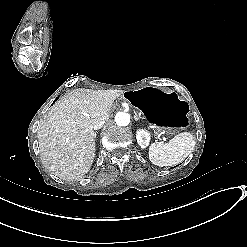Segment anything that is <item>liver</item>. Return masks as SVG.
Returning <instances> with one entry per match:
<instances>
[{
  "mask_svg": "<svg viewBox=\"0 0 247 247\" xmlns=\"http://www.w3.org/2000/svg\"><path fill=\"white\" fill-rule=\"evenodd\" d=\"M114 99L105 91L78 88L67 93L40 120V159L64 181L81 179L95 157L93 125L107 121Z\"/></svg>",
  "mask_w": 247,
  "mask_h": 247,
  "instance_id": "obj_1",
  "label": "liver"
}]
</instances>
